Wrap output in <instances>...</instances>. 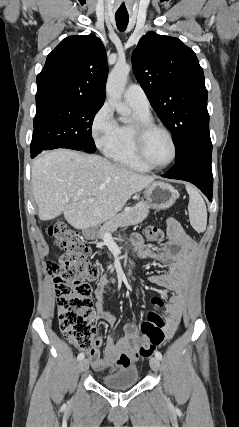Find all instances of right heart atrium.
Wrapping results in <instances>:
<instances>
[{
	"label": "right heart atrium",
	"instance_id": "right-heart-atrium-1",
	"mask_svg": "<svg viewBox=\"0 0 239 427\" xmlns=\"http://www.w3.org/2000/svg\"><path fill=\"white\" fill-rule=\"evenodd\" d=\"M118 124L108 104H104L94 115L91 123V134L96 146L106 151L117 134Z\"/></svg>",
	"mask_w": 239,
	"mask_h": 427
}]
</instances>
